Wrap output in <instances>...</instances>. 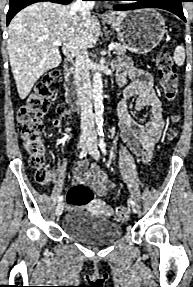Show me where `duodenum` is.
<instances>
[{"label": "duodenum", "instance_id": "410a0bca", "mask_svg": "<svg viewBox=\"0 0 193 287\" xmlns=\"http://www.w3.org/2000/svg\"><path fill=\"white\" fill-rule=\"evenodd\" d=\"M66 72V101L72 110L79 108V90L74 78V58L68 57L65 60Z\"/></svg>", "mask_w": 193, "mask_h": 287}]
</instances>
